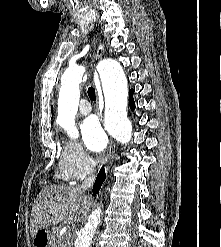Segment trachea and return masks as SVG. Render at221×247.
I'll use <instances>...</instances> for the list:
<instances>
[{
  "instance_id": "trachea-1",
  "label": "trachea",
  "mask_w": 221,
  "mask_h": 247,
  "mask_svg": "<svg viewBox=\"0 0 221 247\" xmlns=\"http://www.w3.org/2000/svg\"><path fill=\"white\" fill-rule=\"evenodd\" d=\"M88 96L91 100L95 101L96 100V92L95 89L91 86L88 88Z\"/></svg>"
}]
</instances>
